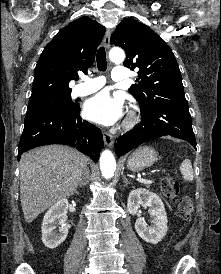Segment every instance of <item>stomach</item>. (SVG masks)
<instances>
[{"mask_svg":"<svg viewBox=\"0 0 221 274\" xmlns=\"http://www.w3.org/2000/svg\"><path fill=\"white\" fill-rule=\"evenodd\" d=\"M157 153L154 148L143 146L138 148L127 160V167L132 171H140L154 164Z\"/></svg>","mask_w":221,"mask_h":274,"instance_id":"stomach-1","label":"stomach"}]
</instances>
